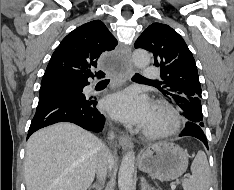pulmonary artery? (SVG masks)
<instances>
[{"mask_svg": "<svg viewBox=\"0 0 234 190\" xmlns=\"http://www.w3.org/2000/svg\"><path fill=\"white\" fill-rule=\"evenodd\" d=\"M144 76L147 79L157 78L159 76L158 69L154 66H146L143 68Z\"/></svg>", "mask_w": 234, "mask_h": 190, "instance_id": "e3ab8cb5", "label": "pulmonary artery"}]
</instances>
